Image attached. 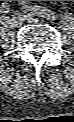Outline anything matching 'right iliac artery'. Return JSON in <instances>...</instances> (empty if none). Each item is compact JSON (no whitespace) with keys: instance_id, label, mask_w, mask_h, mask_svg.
I'll return each mask as SVG.
<instances>
[{"instance_id":"right-iliac-artery-1","label":"right iliac artery","mask_w":74,"mask_h":122,"mask_svg":"<svg viewBox=\"0 0 74 122\" xmlns=\"http://www.w3.org/2000/svg\"><path fill=\"white\" fill-rule=\"evenodd\" d=\"M1 10L5 13L9 12L10 11V7L7 3H2L1 5Z\"/></svg>"}]
</instances>
